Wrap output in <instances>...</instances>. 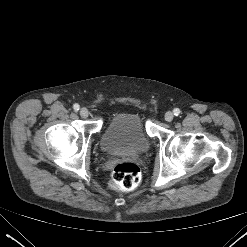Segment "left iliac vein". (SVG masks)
Instances as JSON below:
<instances>
[{"label": "left iliac vein", "instance_id": "left-iliac-vein-1", "mask_svg": "<svg viewBox=\"0 0 247 247\" xmlns=\"http://www.w3.org/2000/svg\"><path fill=\"white\" fill-rule=\"evenodd\" d=\"M174 118V114L171 111L166 112L165 114V120L167 122H171Z\"/></svg>", "mask_w": 247, "mask_h": 247}]
</instances>
